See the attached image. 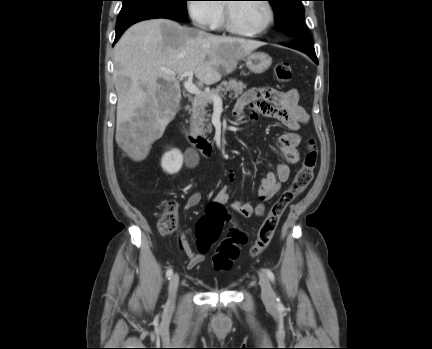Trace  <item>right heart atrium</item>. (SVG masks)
<instances>
[{"label":"right heart atrium","instance_id":"1","mask_svg":"<svg viewBox=\"0 0 432 349\" xmlns=\"http://www.w3.org/2000/svg\"><path fill=\"white\" fill-rule=\"evenodd\" d=\"M187 11L194 25L212 29L221 13V4L216 0H189Z\"/></svg>","mask_w":432,"mask_h":349}]
</instances>
